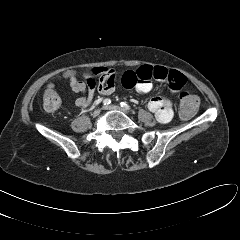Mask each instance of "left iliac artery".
Returning <instances> with one entry per match:
<instances>
[{
    "mask_svg": "<svg viewBox=\"0 0 240 240\" xmlns=\"http://www.w3.org/2000/svg\"><path fill=\"white\" fill-rule=\"evenodd\" d=\"M120 106H121L124 110H130V109H131L130 106H129L127 103H125V102H121V103H120Z\"/></svg>",
    "mask_w": 240,
    "mask_h": 240,
    "instance_id": "1",
    "label": "left iliac artery"
}]
</instances>
